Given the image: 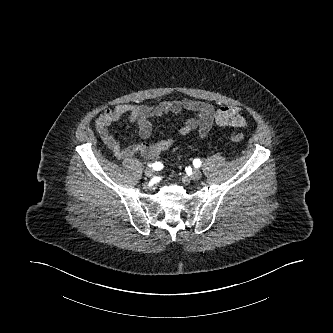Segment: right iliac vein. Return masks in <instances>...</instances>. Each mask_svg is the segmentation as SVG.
<instances>
[{
	"label": "right iliac vein",
	"mask_w": 333,
	"mask_h": 333,
	"mask_svg": "<svg viewBox=\"0 0 333 333\" xmlns=\"http://www.w3.org/2000/svg\"><path fill=\"white\" fill-rule=\"evenodd\" d=\"M144 172H145V175H146L147 177H152V176H154V170L151 169V168H146V169L144 170Z\"/></svg>",
	"instance_id": "obj_1"
}]
</instances>
